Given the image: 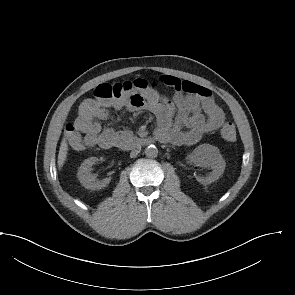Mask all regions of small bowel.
Here are the masks:
<instances>
[{
	"label": "small bowel",
	"mask_w": 295,
	"mask_h": 295,
	"mask_svg": "<svg viewBox=\"0 0 295 295\" xmlns=\"http://www.w3.org/2000/svg\"><path fill=\"white\" fill-rule=\"evenodd\" d=\"M161 81L174 89L172 100L150 89L99 104L89 115H80L67 125L66 135L70 146L76 151L94 146L103 149L115 146L116 140L126 132L102 129L100 121L109 117L108 107L114 110L150 111L156 117L155 136L164 137L167 142L178 146L193 145L203 135L223 125L225 115L210 90L171 75L163 76Z\"/></svg>",
	"instance_id": "1"
}]
</instances>
